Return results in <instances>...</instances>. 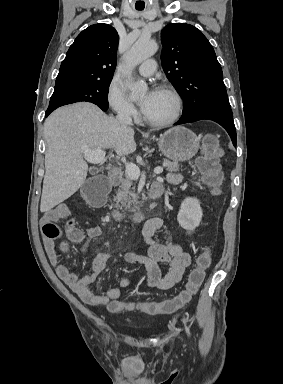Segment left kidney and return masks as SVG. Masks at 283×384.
<instances>
[{"label": "left kidney", "instance_id": "5707ae66", "mask_svg": "<svg viewBox=\"0 0 283 384\" xmlns=\"http://www.w3.org/2000/svg\"><path fill=\"white\" fill-rule=\"evenodd\" d=\"M203 212L200 208L199 200L196 198H185L178 212L177 220L184 230L192 232L199 226L202 220Z\"/></svg>", "mask_w": 283, "mask_h": 384}]
</instances>
